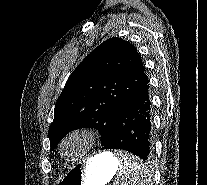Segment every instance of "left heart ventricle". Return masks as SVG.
<instances>
[{"mask_svg": "<svg viewBox=\"0 0 207 185\" xmlns=\"http://www.w3.org/2000/svg\"><path fill=\"white\" fill-rule=\"evenodd\" d=\"M85 140L82 137H75L67 141L63 147V153L66 158H72L85 147Z\"/></svg>", "mask_w": 207, "mask_h": 185, "instance_id": "obj_1", "label": "left heart ventricle"}]
</instances>
